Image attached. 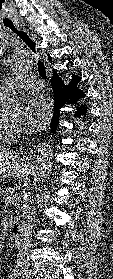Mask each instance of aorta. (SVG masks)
Masks as SVG:
<instances>
[{"instance_id":"obj_1","label":"aorta","mask_w":113,"mask_h":279,"mask_svg":"<svg viewBox=\"0 0 113 279\" xmlns=\"http://www.w3.org/2000/svg\"><path fill=\"white\" fill-rule=\"evenodd\" d=\"M30 65L29 58L27 55H18L13 61L12 69L15 71H21ZM22 106V99L17 97L13 100L11 108L14 113L19 112ZM52 156L53 152L49 145L43 144L37 155V176L39 179H44L48 176L52 169Z\"/></svg>"}]
</instances>
